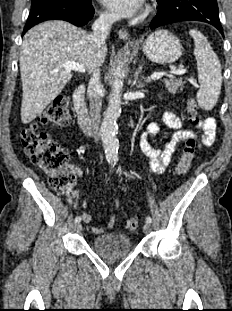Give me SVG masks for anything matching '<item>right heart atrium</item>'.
<instances>
[{"label": "right heart atrium", "mask_w": 232, "mask_h": 311, "mask_svg": "<svg viewBox=\"0 0 232 311\" xmlns=\"http://www.w3.org/2000/svg\"><path fill=\"white\" fill-rule=\"evenodd\" d=\"M100 18L105 22H111L114 19V15L109 11H102Z\"/></svg>", "instance_id": "right-heart-atrium-1"}]
</instances>
